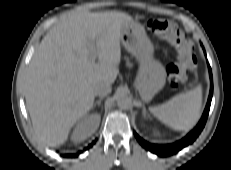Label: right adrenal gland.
<instances>
[{
    "label": "right adrenal gland",
    "mask_w": 231,
    "mask_h": 170,
    "mask_svg": "<svg viewBox=\"0 0 231 170\" xmlns=\"http://www.w3.org/2000/svg\"><path fill=\"white\" fill-rule=\"evenodd\" d=\"M102 99H103V97H100L99 100H97V101L94 103L93 106H94V107H95L96 105L100 106Z\"/></svg>",
    "instance_id": "obj_1"
}]
</instances>
